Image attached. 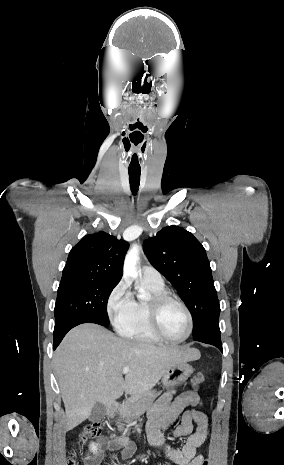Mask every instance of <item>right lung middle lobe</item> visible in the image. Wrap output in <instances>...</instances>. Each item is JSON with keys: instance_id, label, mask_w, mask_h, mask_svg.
<instances>
[{"instance_id": "1", "label": "right lung middle lobe", "mask_w": 284, "mask_h": 465, "mask_svg": "<svg viewBox=\"0 0 284 465\" xmlns=\"http://www.w3.org/2000/svg\"><path fill=\"white\" fill-rule=\"evenodd\" d=\"M117 283L92 278L61 279L55 304V327L75 318L109 325L107 301Z\"/></svg>"}]
</instances>
